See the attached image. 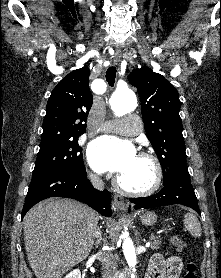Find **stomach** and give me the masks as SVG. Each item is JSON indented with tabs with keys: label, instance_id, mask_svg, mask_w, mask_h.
<instances>
[{
	"label": "stomach",
	"instance_id": "1",
	"mask_svg": "<svg viewBox=\"0 0 221 278\" xmlns=\"http://www.w3.org/2000/svg\"><path fill=\"white\" fill-rule=\"evenodd\" d=\"M140 220L144 225L150 226L156 223L157 216L153 212H145L140 215Z\"/></svg>",
	"mask_w": 221,
	"mask_h": 278
}]
</instances>
